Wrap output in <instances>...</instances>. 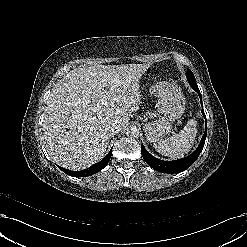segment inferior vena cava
Masks as SVG:
<instances>
[{
    "label": "inferior vena cava",
    "mask_w": 247,
    "mask_h": 247,
    "mask_svg": "<svg viewBox=\"0 0 247 247\" xmlns=\"http://www.w3.org/2000/svg\"><path fill=\"white\" fill-rule=\"evenodd\" d=\"M122 126L118 123H112L106 127V133L109 137H113L116 135L119 131H121Z\"/></svg>",
    "instance_id": "inferior-vena-cava-1"
}]
</instances>
